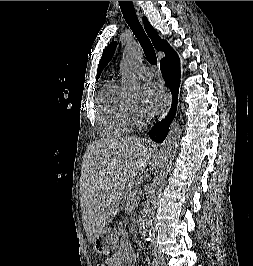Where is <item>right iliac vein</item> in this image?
Instances as JSON below:
<instances>
[{
    "label": "right iliac vein",
    "instance_id": "right-iliac-vein-1",
    "mask_svg": "<svg viewBox=\"0 0 253 266\" xmlns=\"http://www.w3.org/2000/svg\"><path fill=\"white\" fill-rule=\"evenodd\" d=\"M156 260H157V262H158V264H159L160 266H166V265H165V261H164V259H163L161 256H158V257L156 258Z\"/></svg>",
    "mask_w": 253,
    "mask_h": 266
}]
</instances>
